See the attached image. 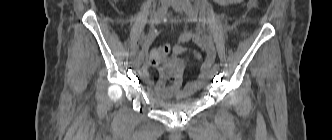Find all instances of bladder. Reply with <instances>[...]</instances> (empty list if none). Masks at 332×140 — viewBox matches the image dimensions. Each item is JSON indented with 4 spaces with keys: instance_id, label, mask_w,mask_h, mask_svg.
<instances>
[{
    "instance_id": "31cf9c89",
    "label": "bladder",
    "mask_w": 332,
    "mask_h": 140,
    "mask_svg": "<svg viewBox=\"0 0 332 140\" xmlns=\"http://www.w3.org/2000/svg\"><path fill=\"white\" fill-rule=\"evenodd\" d=\"M198 90L188 93L181 98H176L174 100H167L153 94H149V99L152 103L168 110H182L187 108L195 101V96Z\"/></svg>"
}]
</instances>
